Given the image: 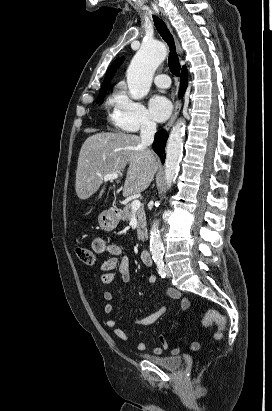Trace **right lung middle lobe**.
Masks as SVG:
<instances>
[{"label":"right lung middle lobe","mask_w":272,"mask_h":411,"mask_svg":"<svg viewBox=\"0 0 272 411\" xmlns=\"http://www.w3.org/2000/svg\"><path fill=\"white\" fill-rule=\"evenodd\" d=\"M107 87H108V86H106L104 89H102V90L100 91L99 96H98V98H97V103H102V102H103V99H104V97H105V95H106V92H107Z\"/></svg>","instance_id":"1"}]
</instances>
